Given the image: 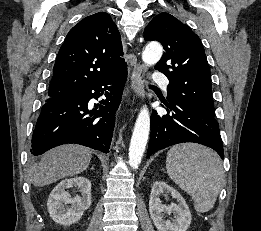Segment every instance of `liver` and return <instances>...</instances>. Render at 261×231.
Listing matches in <instances>:
<instances>
[{
	"label": "liver",
	"mask_w": 261,
	"mask_h": 231,
	"mask_svg": "<svg viewBox=\"0 0 261 231\" xmlns=\"http://www.w3.org/2000/svg\"><path fill=\"white\" fill-rule=\"evenodd\" d=\"M91 151L80 145H62L46 152L35 168L31 182L41 187L77 175L90 164Z\"/></svg>",
	"instance_id": "liver-1"
}]
</instances>
